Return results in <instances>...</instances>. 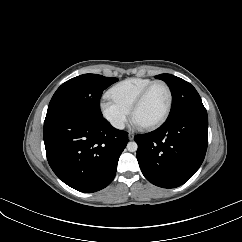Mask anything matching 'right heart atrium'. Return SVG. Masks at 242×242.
Returning <instances> with one entry per match:
<instances>
[{"instance_id": "d8ad5b80", "label": "right heart atrium", "mask_w": 242, "mask_h": 242, "mask_svg": "<svg viewBox=\"0 0 242 242\" xmlns=\"http://www.w3.org/2000/svg\"><path fill=\"white\" fill-rule=\"evenodd\" d=\"M103 117L116 129H123L130 119V112L105 97L100 104Z\"/></svg>"}]
</instances>
